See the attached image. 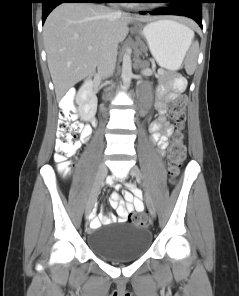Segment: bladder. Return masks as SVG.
I'll return each instance as SVG.
<instances>
[{
	"mask_svg": "<svg viewBox=\"0 0 239 296\" xmlns=\"http://www.w3.org/2000/svg\"><path fill=\"white\" fill-rule=\"evenodd\" d=\"M92 251L110 261H130L144 255L152 244L151 232L138 225L116 223L99 227L88 238Z\"/></svg>",
	"mask_w": 239,
	"mask_h": 296,
	"instance_id": "31cf9c89",
	"label": "bladder"
}]
</instances>
